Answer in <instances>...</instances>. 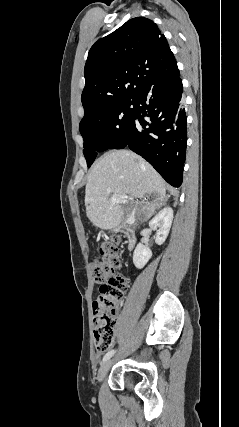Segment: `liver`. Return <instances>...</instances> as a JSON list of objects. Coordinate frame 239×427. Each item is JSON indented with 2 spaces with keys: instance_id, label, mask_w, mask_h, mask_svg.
<instances>
[{
  "instance_id": "6515ba94",
  "label": "liver",
  "mask_w": 239,
  "mask_h": 427,
  "mask_svg": "<svg viewBox=\"0 0 239 427\" xmlns=\"http://www.w3.org/2000/svg\"><path fill=\"white\" fill-rule=\"evenodd\" d=\"M155 195L146 206L148 217L161 207L166 197V185L156 170L129 150H116L101 156L91 167L85 189L86 215L98 228L114 229L136 209L124 207L128 201L114 203L112 195L144 198Z\"/></svg>"
}]
</instances>
